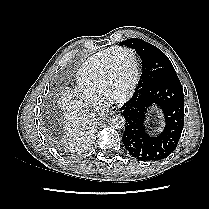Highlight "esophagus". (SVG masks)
Instances as JSON below:
<instances>
[{"label": "esophagus", "instance_id": "obj_1", "mask_svg": "<svg viewBox=\"0 0 209 209\" xmlns=\"http://www.w3.org/2000/svg\"><path fill=\"white\" fill-rule=\"evenodd\" d=\"M111 112H112L113 114L117 113V112H118V108H117V107H112V108H111Z\"/></svg>", "mask_w": 209, "mask_h": 209}]
</instances>
